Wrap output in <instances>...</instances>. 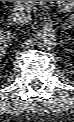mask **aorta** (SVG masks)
I'll list each match as a JSON object with an SVG mask.
<instances>
[{
    "instance_id": "1",
    "label": "aorta",
    "mask_w": 74,
    "mask_h": 122,
    "mask_svg": "<svg viewBox=\"0 0 74 122\" xmlns=\"http://www.w3.org/2000/svg\"><path fill=\"white\" fill-rule=\"evenodd\" d=\"M57 44V35L52 30H41L37 33V45L41 50H50Z\"/></svg>"
}]
</instances>
